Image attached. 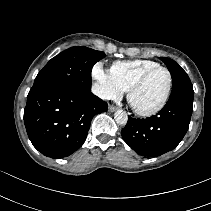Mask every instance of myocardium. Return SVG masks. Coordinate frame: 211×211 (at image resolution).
<instances>
[{
  "label": "myocardium",
  "mask_w": 211,
  "mask_h": 211,
  "mask_svg": "<svg viewBox=\"0 0 211 211\" xmlns=\"http://www.w3.org/2000/svg\"><path fill=\"white\" fill-rule=\"evenodd\" d=\"M157 70H164L168 75V85H167V89H166V92H165L163 99L161 100V102L157 106H155L152 109H149V110L137 109L132 103L133 94L144 84L146 79L153 72H155ZM172 84H173V77H172L171 71L168 68L161 66V65L156 66V67H152V68L146 70L143 74H141L140 77L130 86V88L127 91L128 102L130 103L131 107L133 108V110L135 111L136 114L143 116V117L153 116V115L157 114L158 112H160L165 107V105L167 104L169 97H170V94H171Z\"/></svg>",
  "instance_id": "obj_1"
}]
</instances>
